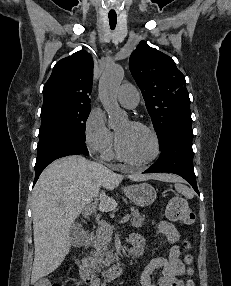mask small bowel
Instances as JSON below:
<instances>
[{"mask_svg":"<svg viewBox=\"0 0 231 286\" xmlns=\"http://www.w3.org/2000/svg\"><path fill=\"white\" fill-rule=\"evenodd\" d=\"M155 229L158 233L164 235L172 244L168 258L157 257L152 259L145 267L141 275L142 286H154L151 281V275L157 269L162 270V276L158 281V286H183L182 280L179 278L185 272V266L180 259V248L177 245L179 233L175 226L167 221H158L155 224ZM131 242L134 248L143 247L144 239L138 235L131 236ZM99 282H95L90 286H98Z\"/></svg>","mask_w":231,"mask_h":286,"instance_id":"c3829d8e","label":"small bowel"}]
</instances>
